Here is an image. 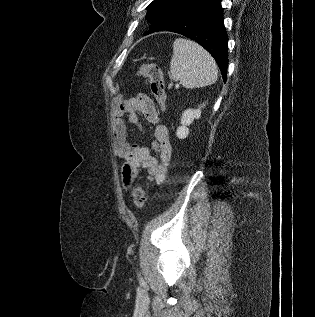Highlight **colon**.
I'll use <instances>...</instances> for the list:
<instances>
[{
	"instance_id": "colon-1",
	"label": "colon",
	"mask_w": 315,
	"mask_h": 317,
	"mask_svg": "<svg viewBox=\"0 0 315 317\" xmlns=\"http://www.w3.org/2000/svg\"><path fill=\"white\" fill-rule=\"evenodd\" d=\"M137 72L147 80L153 96L158 102L161 110L164 111L166 108L165 84L160 66L152 62L142 63ZM133 200L137 209H142L145 206L146 192L141 184L134 188Z\"/></svg>"
}]
</instances>
